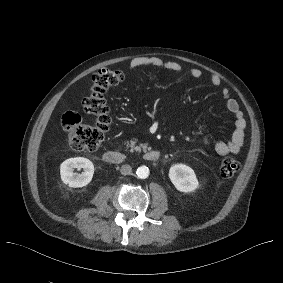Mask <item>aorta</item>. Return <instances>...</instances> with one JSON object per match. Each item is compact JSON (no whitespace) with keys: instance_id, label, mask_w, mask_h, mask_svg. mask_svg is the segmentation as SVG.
Returning <instances> with one entry per match:
<instances>
[{"instance_id":"obj_1","label":"aorta","mask_w":283,"mask_h":283,"mask_svg":"<svg viewBox=\"0 0 283 283\" xmlns=\"http://www.w3.org/2000/svg\"><path fill=\"white\" fill-rule=\"evenodd\" d=\"M136 175L138 178L145 179L149 176V169L146 166L138 167L136 170Z\"/></svg>"}]
</instances>
